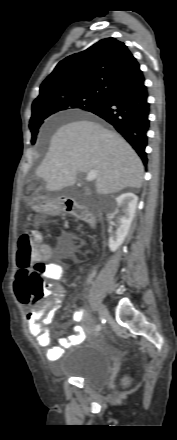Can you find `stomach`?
I'll list each match as a JSON object with an SVG mask.
<instances>
[{
  "label": "stomach",
  "instance_id": "stomach-1",
  "mask_svg": "<svg viewBox=\"0 0 177 440\" xmlns=\"http://www.w3.org/2000/svg\"><path fill=\"white\" fill-rule=\"evenodd\" d=\"M29 206L32 210L40 214H54L61 209L57 199L45 197L33 198Z\"/></svg>",
  "mask_w": 177,
  "mask_h": 440
}]
</instances>
